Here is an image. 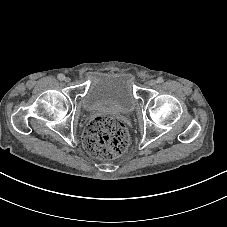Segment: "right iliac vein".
I'll use <instances>...</instances> for the list:
<instances>
[{"label":"right iliac vein","instance_id":"63e3f726","mask_svg":"<svg viewBox=\"0 0 227 227\" xmlns=\"http://www.w3.org/2000/svg\"><path fill=\"white\" fill-rule=\"evenodd\" d=\"M64 81H65V82H69V81H70V78H69V77H65V78H64Z\"/></svg>","mask_w":227,"mask_h":227}]
</instances>
